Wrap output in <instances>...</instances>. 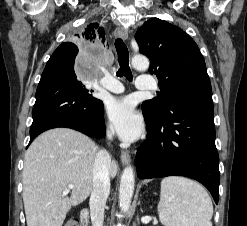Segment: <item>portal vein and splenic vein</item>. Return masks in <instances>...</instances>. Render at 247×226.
<instances>
[{
    "label": "portal vein and splenic vein",
    "instance_id": "1",
    "mask_svg": "<svg viewBox=\"0 0 247 226\" xmlns=\"http://www.w3.org/2000/svg\"><path fill=\"white\" fill-rule=\"evenodd\" d=\"M72 188H73V185H69L68 189L64 192V194H67L69 192V190L72 189Z\"/></svg>",
    "mask_w": 247,
    "mask_h": 226
}]
</instances>
